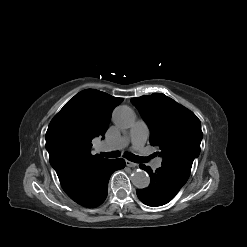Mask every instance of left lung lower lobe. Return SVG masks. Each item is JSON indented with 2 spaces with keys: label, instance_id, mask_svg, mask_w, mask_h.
Segmentation results:
<instances>
[{
  "label": "left lung lower lobe",
  "instance_id": "1",
  "mask_svg": "<svg viewBox=\"0 0 247 247\" xmlns=\"http://www.w3.org/2000/svg\"><path fill=\"white\" fill-rule=\"evenodd\" d=\"M151 178L148 188L137 190L138 198L146 205L157 207L167 204L186 183L170 170L160 167L155 172L141 164Z\"/></svg>",
  "mask_w": 247,
  "mask_h": 247
}]
</instances>
